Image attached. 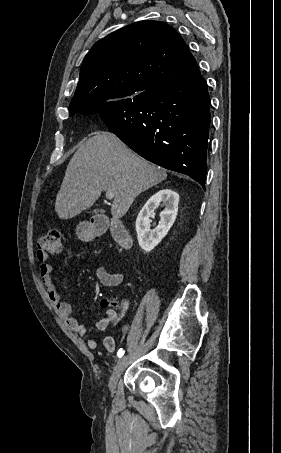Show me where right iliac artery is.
<instances>
[{
	"mask_svg": "<svg viewBox=\"0 0 281 453\" xmlns=\"http://www.w3.org/2000/svg\"><path fill=\"white\" fill-rule=\"evenodd\" d=\"M124 352L125 351L122 348H120L117 352L118 357L121 358L124 355Z\"/></svg>",
	"mask_w": 281,
	"mask_h": 453,
	"instance_id": "right-iliac-artery-1",
	"label": "right iliac artery"
}]
</instances>
